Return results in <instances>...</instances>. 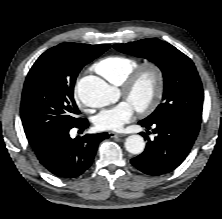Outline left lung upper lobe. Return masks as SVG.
Listing matches in <instances>:
<instances>
[{
    "instance_id": "left-lung-upper-lobe-1",
    "label": "left lung upper lobe",
    "mask_w": 222,
    "mask_h": 219,
    "mask_svg": "<svg viewBox=\"0 0 222 219\" xmlns=\"http://www.w3.org/2000/svg\"><path fill=\"white\" fill-rule=\"evenodd\" d=\"M116 50L144 57L163 72V102L144 121L179 116L201 123L203 87L192 60L174 46L156 38L116 44Z\"/></svg>"
}]
</instances>
